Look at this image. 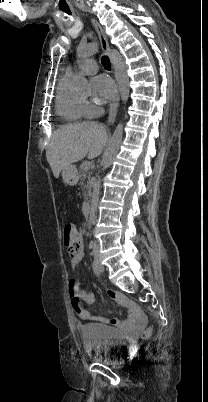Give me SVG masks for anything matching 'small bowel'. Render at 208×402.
Returning <instances> with one entry per match:
<instances>
[{
  "label": "small bowel",
  "mask_w": 208,
  "mask_h": 402,
  "mask_svg": "<svg viewBox=\"0 0 208 402\" xmlns=\"http://www.w3.org/2000/svg\"><path fill=\"white\" fill-rule=\"evenodd\" d=\"M74 235L76 238L79 239V242H75L74 244H72L75 246L74 248L70 246L66 250L67 253L70 254L71 267H75L79 263L83 251V243L81 241V237L83 235L82 232L78 230L75 232ZM67 294L70 298H72L73 296H79L88 304L94 302V296L90 293L82 292L79 288L78 281L74 278H71L68 281ZM106 295L110 301H118L120 304L126 306L130 310L133 308V305L128 300L125 299L126 295L123 292H116L115 289H108ZM132 315L133 316L125 318V321H128L124 324V327L126 329L137 330L139 328V324H145L147 321V318L145 315H143L141 309H134ZM79 316L83 318V321L86 324H93L94 321L96 324H103L104 321L105 322L107 321L103 315H96L94 317L92 314L86 311V309L85 312L83 314H80ZM119 322L120 321L118 319L110 320V323L112 325H116Z\"/></svg>",
  "instance_id": "c3829d8e"
}]
</instances>
